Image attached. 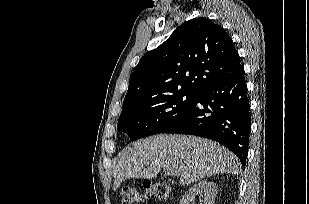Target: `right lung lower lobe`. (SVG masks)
<instances>
[{
    "instance_id": "98d812e1",
    "label": "right lung lower lobe",
    "mask_w": 309,
    "mask_h": 204,
    "mask_svg": "<svg viewBox=\"0 0 309 204\" xmlns=\"http://www.w3.org/2000/svg\"><path fill=\"white\" fill-rule=\"evenodd\" d=\"M250 125L244 69L240 67L232 76L202 90L192 109L166 132L215 140L234 152L245 165Z\"/></svg>"
}]
</instances>
